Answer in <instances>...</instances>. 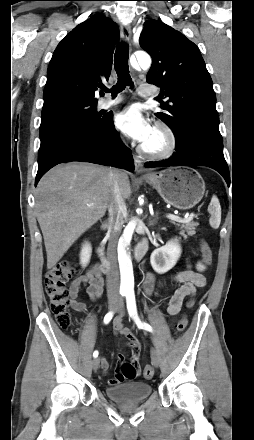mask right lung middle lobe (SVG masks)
Returning a JSON list of instances; mask_svg holds the SVG:
<instances>
[{
    "label": "right lung middle lobe",
    "mask_w": 254,
    "mask_h": 440,
    "mask_svg": "<svg viewBox=\"0 0 254 440\" xmlns=\"http://www.w3.org/2000/svg\"><path fill=\"white\" fill-rule=\"evenodd\" d=\"M96 105V100L77 96H59L44 102L38 154L60 138L99 128L102 121Z\"/></svg>",
    "instance_id": "right-lung-middle-lobe-1"
}]
</instances>
